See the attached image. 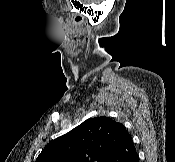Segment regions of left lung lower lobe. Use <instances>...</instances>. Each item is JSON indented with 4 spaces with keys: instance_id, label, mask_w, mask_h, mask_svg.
<instances>
[{
    "instance_id": "left-lung-lower-lobe-1",
    "label": "left lung lower lobe",
    "mask_w": 175,
    "mask_h": 162,
    "mask_svg": "<svg viewBox=\"0 0 175 162\" xmlns=\"http://www.w3.org/2000/svg\"><path fill=\"white\" fill-rule=\"evenodd\" d=\"M108 162H139L138 154L129 133L115 148Z\"/></svg>"
}]
</instances>
